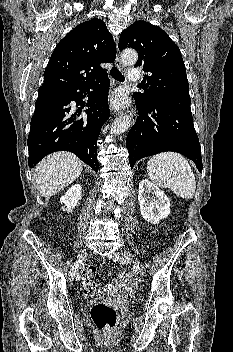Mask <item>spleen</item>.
<instances>
[{"instance_id": "obj_1", "label": "spleen", "mask_w": 233, "mask_h": 352, "mask_svg": "<svg viewBox=\"0 0 233 352\" xmlns=\"http://www.w3.org/2000/svg\"><path fill=\"white\" fill-rule=\"evenodd\" d=\"M147 172L159 187L170 188L183 199L193 198L196 190L195 176L182 155L174 152L155 155L147 163Z\"/></svg>"}]
</instances>
